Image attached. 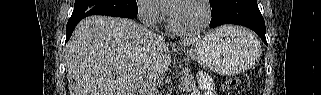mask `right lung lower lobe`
<instances>
[{
	"label": "right lung lower lobe",
	"instance_id": "obj_1",
	"mask_svg": "<svg viewBox=\"0 0 321 95\" xmlns=\"http://www.w3.org/2000/svg\"><path fill=\"white\" fill-rule=\"evenodd\" d=\"M89 15H81V16H71L70 19L68 20L67 23V28H66V42L69 40L71 37V34L76 26L83 18L87 17ZM114 17H125V18H131L129 16H123V15H116Z\"/></svg>",
	"mask_w": 321,
	"mask_h": 95
}]
</instances>
